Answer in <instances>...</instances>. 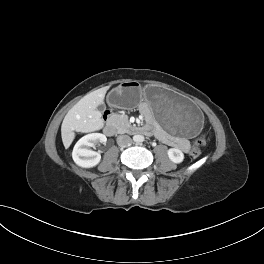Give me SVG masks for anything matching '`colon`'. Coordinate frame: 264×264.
Listing matches in <instances>:
<instances>
[{
	"mask_svg": "<svg viewBox=\"0 0 264 264\" xmlns=\"http://www.w3.org/2000/svg\"><path fill=\"white\" fill-rule=\"evenodd\" d=\"M205 146V138L203 135L197 137L192 146L191 155L192 156H199L202 153V150Z\"/></svg>",
	"mask_w": 264,
	"mask_h": 264,
	"instance_id": "obj_1",
	"label": "colon"
}]
</instances>
